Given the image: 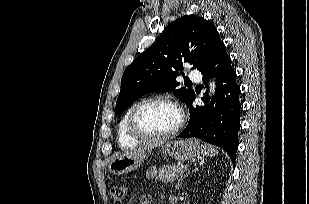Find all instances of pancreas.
Here are the masks:
<instances>
[{
    "instance_id": "pancreas-1",
    "label": "pancreas",
    "mask_w": 309,
    "mask_h": 204,
    "mask_svg": "<svg viewBox=\"0 0 309 204\" xmlns=\"http://www.w3.org/2000/svg\"><path fill=\"white\" fill-rule=\"evenodd\" d=\"M183 170H184V166L182 164L166 167L159 171L157 180H160L164 183L173 182L179 177V175H181Z\"/></svg>"
}]
</instances>
